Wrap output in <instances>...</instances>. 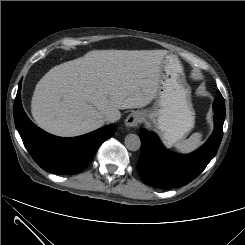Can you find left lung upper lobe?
<instances>
[{
	"label": "left lung upper lobe",
	"mask_w": 245,
	"mask_h": 245,
	"mask_svg": "<svg viewBox=\"0 0 245 245\" xmlns=\"http://www.w3.org/2000/svg\"><path fill=\"white\" fill-rule=\"evenodd\" d=\"M219 102H220L222 111H225V103H224V98L222 96H220Z\"/></svg>",
	"instance_id": "5c2ea615"
}]
</instances>
